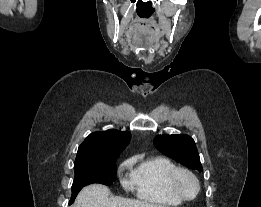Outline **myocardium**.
Masks as SVG:
<instances>
[{
    "label": "myocardium",
    "instance_id": "obj_1",
    "mask_svg": "<svg viewBox=\"0 0 261 207\" xmlns=\"http://www.w3.org/2000/svg\"><path fill=\"white\" fill-rule=\"evenodd\" d=\"M181 175L188 176L195 183L196 191L193 196H190V197L186 196L181 191V189L179 187V178ZM167 185H168L170 192L175 197L180 199L181 201H192L198 196V194L200 192V182H199L198 178L196 177V175L193 172H191L190 170H188L186 168H182V167H177L170 172V174L168 175V179H167Z\"/></svg>",
    "mask_w": 261,
    "mask_h": 207
}]
</instances>
